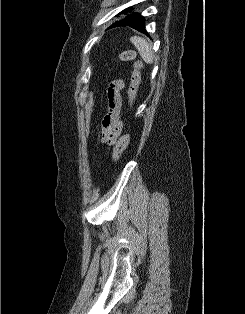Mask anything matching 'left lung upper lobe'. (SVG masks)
<instances>
[{"mask_svg":"<svg viewBox=\"0 0 245 314\" xmlns=\"http://www.w3.org/2000/svg\"><path fill=\"white\" fill-rule=\"evenodd\" d=\"M130 8L125 9L123 12H127ZM137 16V13L131 14L129 16H127L126 18L115 22L114 24H112L109 28H113L116 26H120V25H127L133 18H135Z\"/></svg>","mask_w":245,"mask_h":314,"instance_id":"5c2ea615","label":"left lung upper lobe"}]
</instances>
